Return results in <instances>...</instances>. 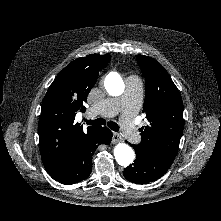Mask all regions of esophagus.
I'll return each instance as SVG.
<instances>
[{
    "label": "esophagus",
    "mask_w": 221,
    "mask_h": 221,
    "mask_svg": "<svg viewBox=\"0 0 221 221\" xmlns=\"http://www.w3.org/2000/svg\"><path fill=\"white\" fill-rule=\"evenodd\" d=\"M121 141H122L121 135L119 133H117V132H114L113 133V137H112V143L116 144V143H119Z\"/></svg>",
    "instance_id": "34e87169"
}]
</instances>
